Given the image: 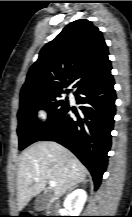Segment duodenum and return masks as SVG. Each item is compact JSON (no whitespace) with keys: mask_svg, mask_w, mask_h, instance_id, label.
<instances>
[{"mask_svg":"<svg viewBox=\"0 0 132 217\" xmlns=\"http://www.w3.org/2000/svg\"><path fill=\"white\" fill-rule=\"evenodd\" d=\"M56 212V209L55 208H51L49 213H55Z\"/></svg>","mask_w":132,"mask_h":217,"instance_id":"1","label":"duodenum"}]
</instances>
